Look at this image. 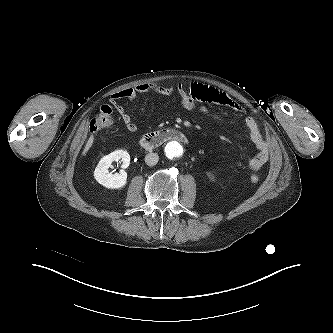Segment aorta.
Listing matches in <instances>:
<instances>
[{"label": "aorta", "instance_id": "762f6f07", "mask_svg": "<svg viewBox=\"0 0 333 333\" xmlns=\"http://www.w3.org/2000/svg\"><path fill=\"white\" fill-rule=\"evenodd\" d=\"M183 145L178 141H171L166 145L165 152L168 158L176 159L183 155Z\"/></svg>", "mask_w": 333, "mask_h": 333}]
</instances>
